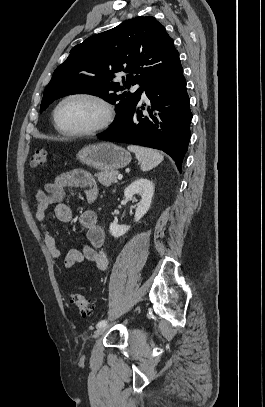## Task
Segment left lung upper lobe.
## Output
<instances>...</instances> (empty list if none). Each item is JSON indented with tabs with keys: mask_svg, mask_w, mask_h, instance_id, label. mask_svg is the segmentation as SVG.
<instances>
[{
	"mask_svg": "<svg viewBox=\"0 0 265 407\" xmlns=\"http://www.w3.org/2000/svg\"><path fill=\"white\" fill-rule=\"evenodd\" d=\"M178 65L179 53L162 24L154 17L128 20L71 49L45 88L40 112L66 95H96L115 104L117 115L111 130L130 115L150 82L166 76ZM117 72L126 74L123 86L114 81ZM138 82L141 88L126 92L130 84ZM119 91L124 92L118 94Z\"/></svg>",
	"mask_w": 265,
	"mask_h": 407,
	"instance_id": "1",
	"label": "left lung upper lobe"
}]
</instances>
